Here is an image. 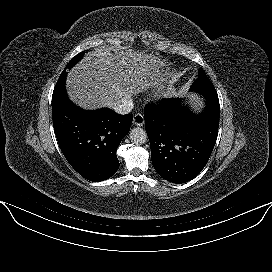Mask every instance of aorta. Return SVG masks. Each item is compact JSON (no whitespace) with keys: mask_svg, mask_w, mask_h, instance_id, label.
Returning a JSON list of instances; mask_svg holds the SVG:
<instances>
[{"mask_svg":"<svg viewBox=\"0 0 272 272\" xmlns=\"http://www.w3.org/2000/svg\"><path fill=\"white\" fill-rule=\"evenodd\" d=\"M129 136H130L131 142L135 145H142L146 143L148 138L146 131L140 127L133 128L130 131Z\"/></svg>","mask_w":272,"mask_h":272,"instance_id":"1","label":"aorta"}]
</instances>
